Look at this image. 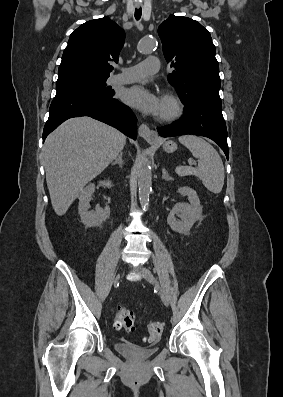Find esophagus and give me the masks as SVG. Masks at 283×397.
I'll use <instances>...</instances> for the list:
<instances>
[{
    "instance_id": "esophagus-1",
    "label": "esophagus",
    "mask_w": 283,
    "mask_h": 397,
    "mask_svg": "<svg viewBox=\"0 0 283 397\" xmlns=\"http://www.w3.org/2000/svg\"><path fill=\"white\" fill-rule=\"evenodd\" d=\"M139 135L144 138L147 142H156L158 140V134L156 131L151 130L146 124H141L138 129Z\"/></svg>"
}]
</instances>
